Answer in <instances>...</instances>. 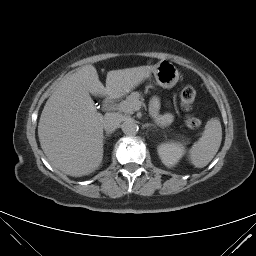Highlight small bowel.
I'll list each match as a JSON object with an SVG mask.
<instances>
[{
  "mask_svg": "<svg viewBox=\"0 0 256 256\" xmlns=\"http://www.w3.org/2000/svg\"><path fill=\"white\" fill-rule=\"evenodd\" d=\"M159 101L156 99L152 104V115L154 120L160 125H166L172 121L173 115L171 113H160Z\"/></svg>",
  "mask_w": 256,
  "mask_h": 256,
  "instance_id": "small-bowel-1",
  "label": "small bowel"
}]
</instances>
